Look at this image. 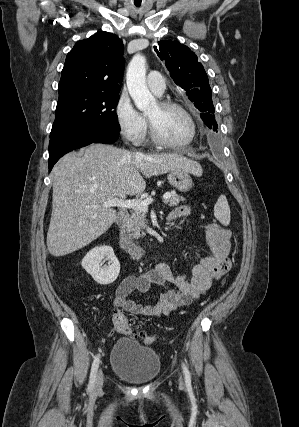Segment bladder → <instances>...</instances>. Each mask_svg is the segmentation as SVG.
Listing matches in <instances>:
<instances>
[{
  "instance_id": "1",
  "label": "bladder",
  "mask_w": 299,
  "mask_h": 427,
  "mask_svg": "<svg viewBox=\"0 0 299 427\" xmlns=\"http://www.w3.org/2000/svg\"><path fill=\"white\" fill-rule=\"evenodd\" d=\"M113 373L133 384H143L155 379L161 361L154 350L130 338L119 339L111 350Z\"/></svg>"
}]
</instances>
